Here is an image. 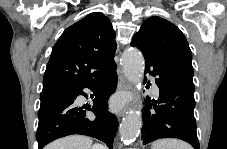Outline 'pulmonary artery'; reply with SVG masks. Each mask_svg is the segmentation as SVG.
<instances>
[{"instance_id":"pulmonary-artery-1","label":"pulmonary artery","mask_w":227,"mask_h":149,"mask_svg":"<svg viewBox=\"0 0 227 149\" xmlns=\"http://www.w3.org/2000/svg\"><path fill=\"white\" fill-rule=\"evenodd\" d=\"M153 92L155 94H158V92H159V89H158V87L155 84L153 85Z\"/></svg>"}]
</instances>
